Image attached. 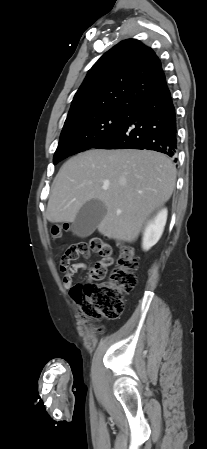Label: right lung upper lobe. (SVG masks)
Here are the masks:
<instances>
[{
	"instance_id": "right-lung-upper-lobe-1",
	"label": "right lung upper lobe",
	"mask_w": 207,
	"mask_h": 449,
	"mask_svg": "<svg viewBox=\"0 0 207 449\" xmlns=\"http://www.w3.org/2000/svg\"><path fill=\"white\" fill-rule=\"evenodd\" d=\"M169 92L161 62L135 39L118 43L89 70L67 119L106 109H134Z\"/></svg>"
}]
</instances>
